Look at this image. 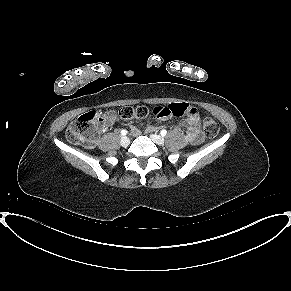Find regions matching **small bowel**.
Segmentation results:
<instances>
[{"label": "small bowel", "mask_w": 291, "mask_h": 291, "mask_svg": "<svg viewBox=\"0 0 291 291\" xmlns=\"http://www.w3.org/2000/svg\"><path fill=\"white\" fill-rule=\"evenodd\" d=\"M194 111L187 113L186 118L182 121V125L186 128L185 139L191 145H198L202 142L203 136L200 129V117L196 112V109L193 107ZM165 118H160V120H164ZM158 126L150 125L147 127L148 132L156 131ZM131 131L135 136H139L141 134L140 129L132 125Z\"/></svg>", "instance_id": "obj_1"}]
</instances>
